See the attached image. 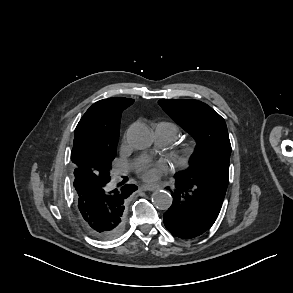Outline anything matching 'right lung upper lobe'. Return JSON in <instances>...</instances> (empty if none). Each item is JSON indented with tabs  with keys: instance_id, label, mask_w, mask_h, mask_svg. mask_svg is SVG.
I'll list each match as a JSON object with an SVG mask.
<instances>
[{
	"instance_id": "cb5924a9",
	"label": "right lung upper lobe",
	"mask_w": 293,
	"mask_h": 293,
	"mask_svg": "<svg viewBox=\"0 0 293 293\" xmlns=\"http://www.w3.org/2000/svg\"><path fill=\"white\" fill-rule=\"evenodd\" d=\"M134 100L114 97L93 104L75 129L71 160L76 169L97 171L93 159L115 152L122 111Z\"/></svg>"
}]
</instances>
